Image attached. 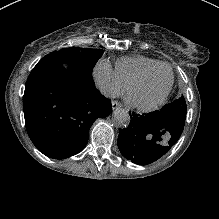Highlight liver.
<instances>
[{
	"label": "liver",
	"instance_id": "liver-1",
	"mask_svg": "<svg viewBox=\"0 0 219 219\" xmlns=\"http://www.w3.org/2000/svg\"><path fill=\"white\" fill-rule=\"evenodd\" d=\"M62 67H64V68H69L70 67V64H62Z\"/></svg>",
	"mask_w": 219,
	"mask_h": 219
}]
</instances>
